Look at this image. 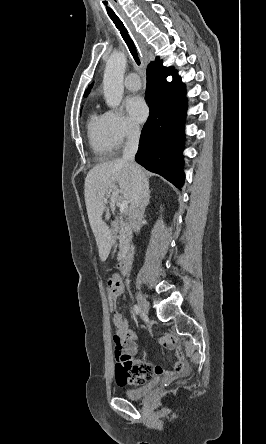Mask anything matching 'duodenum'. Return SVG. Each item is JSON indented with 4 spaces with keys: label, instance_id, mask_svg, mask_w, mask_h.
I'll use <instances>...</instances> for the list:
<instances>
[{
    "label": "duodenum",
    "instance_id": "1",
    "mask_svg": "<svg viewBox=\"0 0 266 444\" xmlns=\"http://www.w3.org/2000/svg\"><path fill=\"white\" fill-rule=\"evenodd\" d=\"M122 275L127 276L131 271V255L129 252L125 253L118 263Z\"/></svg>",
    "mask_w": 266,
    "mask_h": 444
}]
</instances>
